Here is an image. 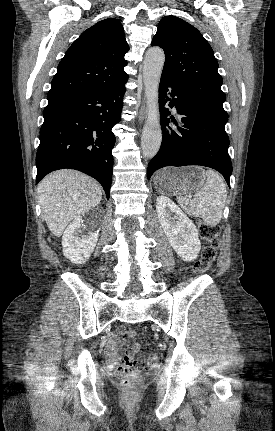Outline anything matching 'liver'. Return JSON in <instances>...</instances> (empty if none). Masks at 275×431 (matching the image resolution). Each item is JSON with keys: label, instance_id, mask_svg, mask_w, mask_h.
Masks as SVG:
<instances>
[{"label": "liver", "instance_id": "6515ba94", "mask_svg": "<svg viewBox=\"0 0 275 431\" xmlns=\"http://www.w3.org/2000/svg\"><path fill=\"white\" fill-rule=\"evenodd\" d=\"M37 194L49 230L60 237L76 217L98 205L100 186L91 177L75 170H59L47 175L38 185Z\"/></svg>", "mask_w": 275, "mask_h": 431}]
</instances>
